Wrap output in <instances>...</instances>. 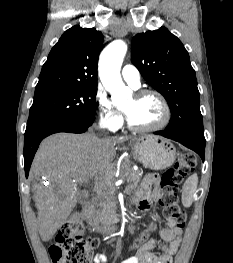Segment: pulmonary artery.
<instances>
[{"label":"pulmonary artery","mask_w":233,"mask_h":263,"mask_svg":"<svg viewBox=\"0 0 233 263\" xmlns=\"http://www.w3.org/2000/svg\"><path fill=\"white\" fill-rule=\"evenodd\" d=\"M121 74L123 79L134 89L140 86V73L135 66L131 64L125 65L122 68Z\"/></svg>","instance_id":"1"}]
</instances>
